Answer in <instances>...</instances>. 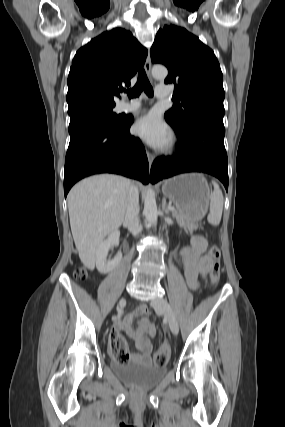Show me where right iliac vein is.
<instances>
[{"label":"right iliac vein","mask_w":285,"mask_h":427,"mask_svg":"<svg viewBox=\"0 0 285 427\" xmlns=\"http://www.w3.org/2000/svg\"><path fill=\"white\" fill-rule=\"evenodd\" d=\"M125 303V299L120 300V305H123Z\"/></svg>","instance_id":"1"}]
</instances>
